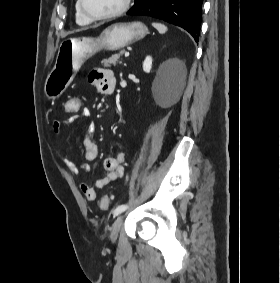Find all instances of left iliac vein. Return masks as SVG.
I'll list each match as a JSON object with an SVG mask.
<instances>
[{
	"mask_svg": "<svg viewBox=\"0 0 280 283\" xmlns=\"http://www.w3.org/2000/svg\"><path fill=\"white\" fill-rule=\"evenodd\" d=\"M122 224H123V216L120 215L115 219L112 225V228H111L110 238L112 241H115L117 239V236L122 227Z\"/></svg>",
	"mask_w": 280,
	"mask_h": 283,
	"instance_id": "1",
	"label": "left iliac vein"
}]
</instances>
